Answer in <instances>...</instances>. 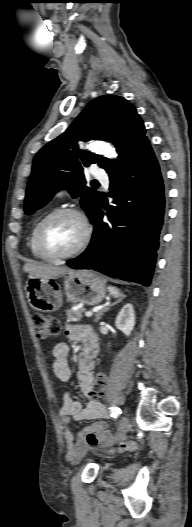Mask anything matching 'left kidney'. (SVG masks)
I'll list each match as a JSON object with an SVG mask.
<instances>
[{
	"label": "left kidney",
	"mask_w": 192,
	"mask_h": 527,
	"mask_svg": "<svg viewBox=\"0 0 192 527\" xmlns=\"http://www.w3.org/2000/svg\"><path fill=\"white\" fill-rule=\"evenodd\" d=\"M135 325V313L132 304H126L119 312L115 326L126 336L130 335Z\"/></svg>",
	"instance_id": "obj_1"
}]
</instances>
